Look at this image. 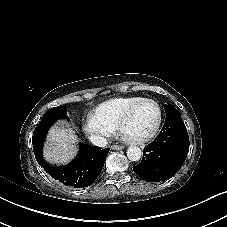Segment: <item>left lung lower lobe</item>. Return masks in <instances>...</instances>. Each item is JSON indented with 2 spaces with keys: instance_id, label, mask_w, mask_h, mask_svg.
<instances>
[{
  "instance_id": "1",
  "label": "left lung lower lobe",
  "mask_w": 227,
  "mask_h": 227,
  "mask_svg": "<svg viewBox=\"0 0 227 227\" xmlns=\"http://www.w3.org/2000/svg\"><path fill=\"white\" fill-rule=\"evenodd\" d=\"M189 150V136L181 117L167 116L161 133L143 151L134 172L147 182L164 181L182 167Z\"/></svg>"
}]
</instances>
